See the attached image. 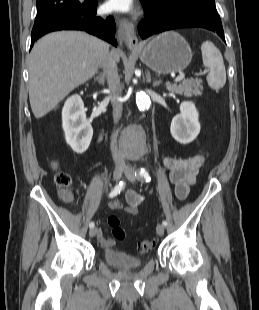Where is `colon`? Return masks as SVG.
Wrapping results in <instances>:
<instances>
[{
  "label": "colon",
  "instance_id": "colon-1",
  "mask_svg": "<svg viewBox=\"0 0 259 310\" xmlns=\"http://www.w3.org/2000/svg\"><path fill=\"white\" fill-rule=\"evenodd\" d=\"M56 183L62 188H67L71 183L70 176L65 172H58L56 175ZM108 224L112 229V236L117 240H123L125 238V231L120 226V220L118 216L111 215L108 217ZM156 239L148 237L140 241L137 245V252L140 255L149 253L155 246Z\"/></svg>",
  "mask_w": 259,
  "mask_h": 310
}]
</instances>
